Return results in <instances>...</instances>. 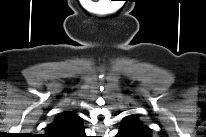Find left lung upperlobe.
Here are the masks:
<instances>
[{"label": "left lung upper lobe", "mask_w": 206, "mask_h": 137, "mask_svg": "<svg viewBox=\"0 0 206 137\" xmlns=\"http://www.w3.org/2000/svg\"><path fill=\"white\" fill-rule=\"evenodd\" d=\"M120 129L134 132L138 137H149L151 133L150 128L138 119L137 114H131L125 117Z\"/></svg>", "instance_id": "left-lung-upper-lobe-1"}]
</instances>
